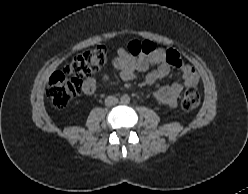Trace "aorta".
Segmentation results:
<instances>
[{
    "label": "aorta",
    "mask_w": 248,
    "mask_h": 194,
    "mask_svg": "<svg viewBox=\"0 0 248 194\" xmlns=\"http://www.w3.org/2000/svg\"><path fill=\"white\" fill-rule=\"evenodd\" d=\"M120 102H121V104H123V105H127V104L130 103V97H129L128 95H123V96H121V98H120Z\"/></svg>",
    "instance_id": "762f6f07"
}]
</instances>
